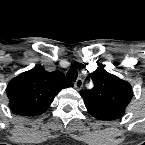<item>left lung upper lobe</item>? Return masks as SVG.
<instances>
[{"label":"left lung upper lobe","instance_id":"5c2ea615","mask_svg":"<svg viewBox=\"0 0 145 145\" xmlns=\"http://www.w3.org/2000/svg\"><path fill=\"white\" fill-rule=\"evenodd\" d=\"M91 78L93 89L81 93L91 116L105 121L122 117L133 96L131 85L102 68L91 73Z\"/></svg>","mask_w":145,"mask_h":145}]
</instances>
